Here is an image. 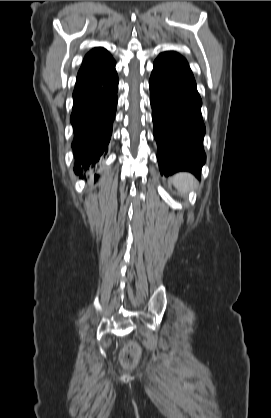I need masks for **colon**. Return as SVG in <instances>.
<instances>
[{
  "label": "colon",
  "mask_w": 271,
  "mask_h": 418,
  "mask_svg": "<svg viewBox=\"0 0 271 418\" xmlns=\"http://www.w3.org/2000/svg\"><path fill=\"white\" fill-rule=\"evenodd\" d=\"M139 355L138 348L135 345H129L122 354V361L126 365L133 364Z\"/></svg>",
  "instance_id": "5ec220e1"
}]
</instances>
